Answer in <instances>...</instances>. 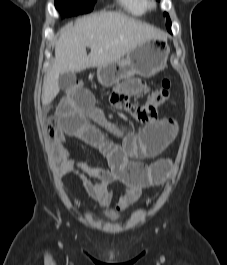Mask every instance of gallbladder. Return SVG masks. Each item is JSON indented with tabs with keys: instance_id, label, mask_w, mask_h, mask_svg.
I'll return each instance as SVG.
<instances>
[{
	"instance_id": "bac80fb5",
	"label": "gallbladder",
	"mask_w": 227,
	"mask_h": 265,
	"mask_svg": "<svg viewBox=\"0 0 227 265\" xmlns=\"http://www.w3.org/2000/svg\"><path fill=\"white\" fill-rule=\"evenodd\" d=\"M76 81V74L73 72H67V73H63L60 74L59 79H58V85L60 87V89H68L71 86H73V84Z\"/></svg>"
}]
</instances>
